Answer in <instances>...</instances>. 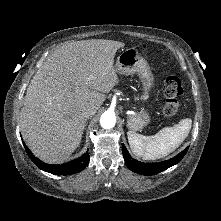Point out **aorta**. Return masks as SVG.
Masks as SVG:
<instances>
[{
  "label": "aorta",
  "mask_w": 221,
  "mask_h": 221,
  "mask_svg": "<svg viewBox=\"0 0 221 221\" xmlns=\"http://www.w3.org/2000/svg\"><path fill=\"white\" fill-rule=\"evenodd\" d=\"M116 116L114 113L106 111L101 115L100 124L104 129H111L115 126Z\"/></svg>",
  "instance_id": "1"
}]
</instances>
